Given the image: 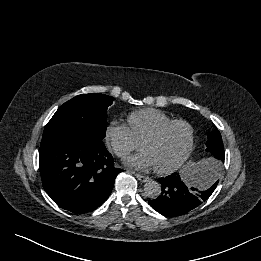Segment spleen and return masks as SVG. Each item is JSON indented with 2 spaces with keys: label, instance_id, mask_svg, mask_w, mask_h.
I'll use <instances>...</instances> for the list:
<instances>
[{
  "label": "spleen",
  "instance_id": "spleen-1",
  "mask_svg": "<svg viewBox=\"0 0 261 261\" xmlns=\"http://www.w3.org/2000/svg\"><path fill=\"white\" fill-rule=\"evenodd\" d=\"M201 169L200 165H194L193 167L187 166L182 171V178L188 186H196L198 183V174Z\"/></svg>",
  "mask_w": 261,
  "mask_h": 261
}]
</instances>
